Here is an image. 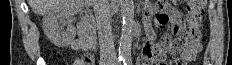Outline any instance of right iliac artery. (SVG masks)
I'll list each match as a JSON object with an SVG mask.
<instances>
[{
  "instance_id": "1",
  "label": "right iliac artery",
  "mask_w": 232,
  "mask_h": 65,
  "mask_svg": "<svg viewBox=\"0 0 232 65\" xmlns=\"http://www.w3.org/2000/svg\"><path fill=\"white\" fill-rule=\"evenodd\" d=\"M119 62H121V61H123V58H119V60H118Z\"/></svg>"
}]
</instances>
